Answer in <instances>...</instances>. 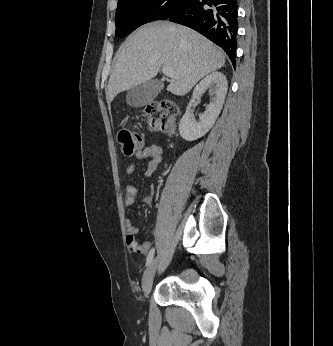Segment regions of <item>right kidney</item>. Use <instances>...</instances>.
I'll return each instance as SVG.
<instances>
[{
	"mask_svg": "<svg viewBox=\"0 0 333 346\" xmlns=\"http://www.w3.org/2000/svg\"><path fill=\"white\" fill-rule=\"evenodd\" d=\"M228 82L221 72H212L202 79L194 88L192 99L190 100L186 113L179 124V132L186 141H193L204 136L214 125L223 107ZM206 89L213 93L211 102L206 106V111L200 116V121L196 122L191 116L190 109L195 100L202 96Z\"/></svg>",
	"mask_w": 333,
	"mask_h": 346,
	"instance_id": "ca27d5eb",
	"label": "right kidney"
}]
</instances>
